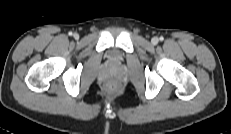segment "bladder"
Wrapping results in <instances>:
<instances>
[{
    "mask_svg": "<svg viewBox=\"0 0 231 134\" xmlns=\"http://www.w3.org/2000/svg\"><path fill=\"white\" fill-rule=\"evenodd\" d=\"M112 58L114 59V60H119V56L117 55V54H112Z\"/></svg>",
    "mask_w": 231,
    "mask_h": 134,
    "instance_id": "1",
    "label": "bladder"
}]
</instances>
